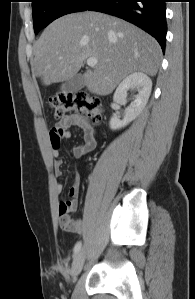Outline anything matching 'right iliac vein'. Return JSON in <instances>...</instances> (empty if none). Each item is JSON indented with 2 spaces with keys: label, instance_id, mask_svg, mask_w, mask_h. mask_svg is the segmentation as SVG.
I'll use <instances>...</instances> for the list:
<instances>
[{
  "label": "right iliac vein",
  "instance_id": "right-iliac-vein-1",
  "mask_svg": "<svg viewBox=\"0 0 195 299\" xmlns=\"http://www.w3.org/2000/svg\"><path fill=\"white\" fill-rule=\"evenodd\" d=\"M84 257H85V252L82 249L76 253L73 259L71 269H70V276L73 281L77 278V276L80 274L82 270L84 264Z\"/></svg>",
  "mask_w": 195,
  "mask_h": 299
}]
</instances>
